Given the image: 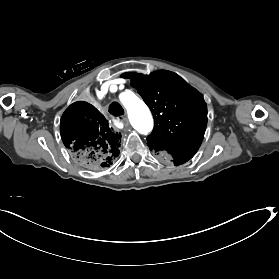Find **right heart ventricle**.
<instances>
[{"label": "right heart ventricle", "instance_id": "1", "mask_svg": "<svg viewBox=\"0 0 279 279\" xmlns=\"http://www.w3.org/2000/svg\"><path fill=\"white\" fill-rule=\"evenodd\" d=\"M102 49H94V53L83 58V62L88 65L100 63L103 60V55L100 54ZM106 90V89H105ZM138 94L134 90H125L120 94L117 103L127 110L133 103Z\"/></svg>", "mask_w": 279, "mask_h": 279}]
</instances>
